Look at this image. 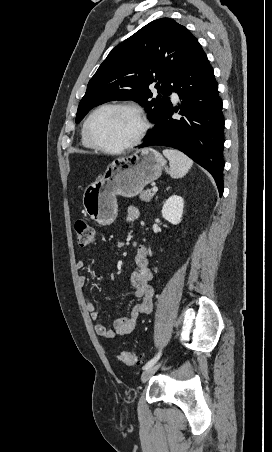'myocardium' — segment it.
<instances>
[{
  "mask_svg": "<svg viewBox=\"0 0 272 452\" xmlns=\"http://www.w3.org/2000/svg\"><path fill=\"white\" fill-rule=\"evenodd\" d=\"M107 109H120L131 113L139 123V129L135 137L125 145L119 147H110L98 141L91 132V123L100 112ZM149 128L147 118L142 111L134 105L126 103H107L96 108L86 119L84 123V134L87 141L95 148L104 152L119 154L133 149L141 143Z\"/></svg>",
  "mask_w": 272,
  "mask_h": 452,
  "instance_id": "f54148a6",
  "label": "myocardium"
}]
</instances>
